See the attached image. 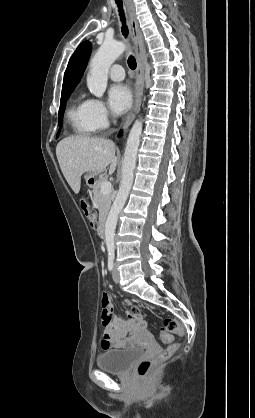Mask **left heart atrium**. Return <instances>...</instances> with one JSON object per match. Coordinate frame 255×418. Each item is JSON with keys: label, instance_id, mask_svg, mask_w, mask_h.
<instances>
[{"label": "left heart atrium", "instance_id": "left-heart-atrium-1", "mask_svg": "<svg viewBox=\"0 0 255 418\" xmlns=\"http://www.w3.org/2000/svg\"><path fill=\"white\" fill-rule=\"evenodd\" d=\"M108 101L115 114H123L132 104V95L127 86L115 84L109 89Z\"/></svg>", "mask_w": 255, "mask_h": 418}]
</instances>
